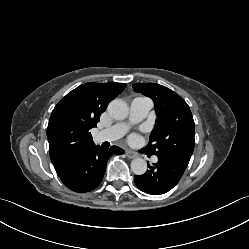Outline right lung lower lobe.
I'll return each mask as SVG.
<instances>
[{
	"instance_id": "obj_1",
	"label": "right lung lower lobe",
	"mask_w": 249,
	"mask_h": 249,
	"mask_svg": "<svg viewBox=\"0 0 249 249\" xmlns=\"http://www.w3.org/2000/svg\"><path fill=\"white\" fill-rule=\"evenodd\" d=\"M113 153L124 154V150L116 146L106 150L93 144L58 176L65 186L75 192L91 191L102 181L107 160Z\"/></svg>"
}]
</instances>
